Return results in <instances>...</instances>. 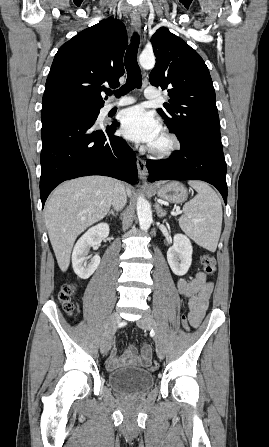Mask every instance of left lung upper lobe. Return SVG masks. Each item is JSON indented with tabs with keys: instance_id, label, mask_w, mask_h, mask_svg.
I'll use <instances>...</instances> for the list:
<instances>
[{
	"instance_id": "1",
	"label": "left lung upper lobe",
	"mask_w": 269,
	"mask_h": 447,
	"mask_svg": "<svg viewBox=\"0 0 269 447\" xmlns=\"http://www.w3.org/2000/svg\"><path fill=\"white\" fill-rule=\"evenodd\" d=\"M156 65L149 75L154 86L168 89L170 103L158 113L182 146L200 138L221 141L215 90L209 70L182 39L167 28H159L151 38Z\"/></svg>"
}]
</instances>
